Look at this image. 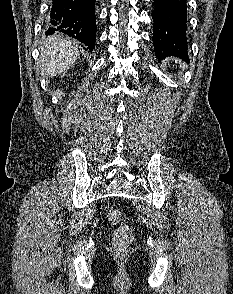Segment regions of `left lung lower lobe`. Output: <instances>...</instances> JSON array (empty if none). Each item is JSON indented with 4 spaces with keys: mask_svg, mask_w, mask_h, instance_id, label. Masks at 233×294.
I'll return each mask as SVG.
<instances>
[{
    "mask_svg": "<svg viewBox=\"0 0 233 294\" xmlns=\"http://www.w3.org/2000/svg\"><path fill=\"white\" fill-rule=\"evenodd\" d=\"M153 42L158 58L175 56L189 61L186 41V0H154Z\"/></svg>",
    "mask_w": 233,
    "mask_h": 294,
    "instance_id": "0a47b994",
    "label": "left lung lower lobe"
}]
</instances>
